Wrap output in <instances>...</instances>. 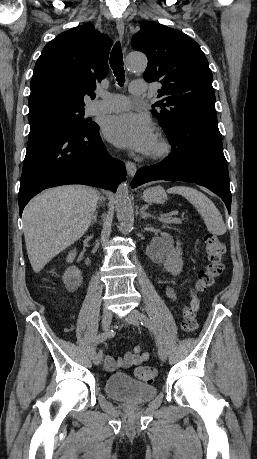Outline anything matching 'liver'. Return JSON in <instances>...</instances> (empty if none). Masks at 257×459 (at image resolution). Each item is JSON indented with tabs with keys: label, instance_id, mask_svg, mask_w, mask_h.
<instances>
[{
	"label": "liver",
	"instance_id": "obj_1",
	"mask_svg": "<svg viewBox=\"0 0 257 459\" xmlns=\"http://www.w3.org/2000/svg\"><path fill=\"white\" fill-rule=\"evenodd\" d=\"M97 190L60 186L34 198L23 212L24 237L35 273L88 230L97 207Z\"/></svg>",
	"mask_w": 257,
	"mask_h": 459
}]
</instances>
